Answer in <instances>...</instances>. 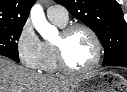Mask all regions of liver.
<instances>
[{"label":"liver","instance_id":"6515ba94","mask_svg":"<svg viewBox=\"0 0 127 92\" xmlns=\"http://www.w3.org/2000/svg\"><path fill=\"white\" fill-rule=\"evenodd\" d=\"M79 76H47L0 56V92H70Z\"/></svg>","mask_w":127,"mask_h":92}]
</instances>
